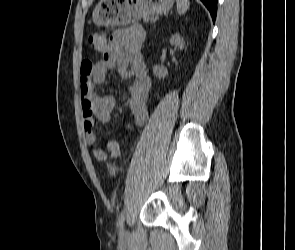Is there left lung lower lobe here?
<instances>
[{
    "instance_id": "left-lung-lower-lobe-1",
    "label": "left lung lower lobe",
    "mask_w": 295,
    "mask_h": 250,
    "mask_svg": "<svg viewBox=\"0 0 295 250\" xmlns=\"http://www.w3.org/2000/svg\"><path fill=\"white\" fill-rule=\"evenodd\" d=\"M201 2H203L209 10L214 22L217 14V0H201Z\"/></svg>"
}]
</instances>
